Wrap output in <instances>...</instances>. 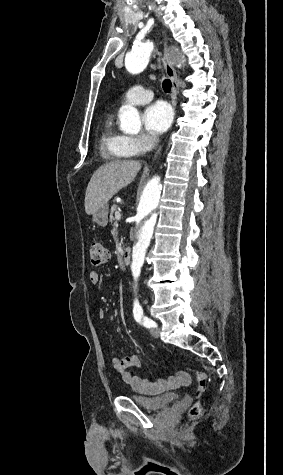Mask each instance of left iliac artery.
Wrapping results in <instances>:
<instances>
[{"label":"left iliac artery","mask_w":283,"mask_h":475,"mask_svg":"<svg viewBox=\"0 0 283 475\" xmlns=\"http://www.w3.org/2000/svg\"><path fill=\"white\" fill-rule=\"evenodd\" d=\"M133 315L137 322L142 323L147 328L157 326L153 320L145 317L143 314V310L139 309L136 305L133 308Z\"/></svg>","instance_id":"1"}]
</instances>
